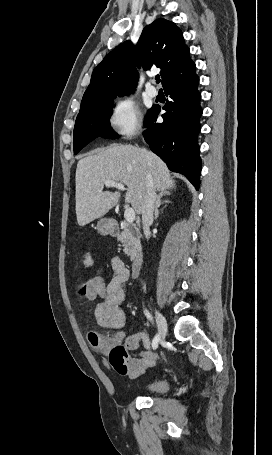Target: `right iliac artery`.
<instances>
[{"mask_svg": "<svg viewBox=\"0 0 272 455\" xmlns=\"http://www.w3.org/2000/svg\"><path fill=\"white\" fill-rule=\"evenodd\" d=\"M145 315L147 316V318H148L150 321H152V317H151L150 313H149L147 310H145ZM159 340H160V337H159L158 334H156L155 337H154L153 340H152V347H153V349H156V348L158 347V342H159Z\"/></svg>", "mask_w": 272, "mask_h": 455, "instance_id": "right-iliac-artery-1", "label": "right iliac artery"}]
</instances>
